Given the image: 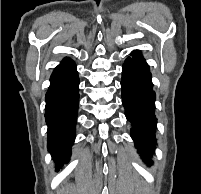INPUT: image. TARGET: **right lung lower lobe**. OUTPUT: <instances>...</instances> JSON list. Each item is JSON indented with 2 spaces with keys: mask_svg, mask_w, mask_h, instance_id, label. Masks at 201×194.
Returning <instances> with one entry per match:
<instances>
[{
  "mask_svg": "<svg viewBox=\"0 0 201 194\" xmlns=\"http://www.w3.org/2000/svg\"><path fill=\"white\" fill-rule=\"evenodd\" d=\"M78 92L79 78L76 65L71 59L64 58L54 69L45 96L47 148L58 166L67 163L71 155V147L75 139Z\"/></svg>",
  "mask_w": 201,
  "mask_h": 194,
  "instance_id": "1",
  "label": "right lung lower lobe"
}]
</instances>
